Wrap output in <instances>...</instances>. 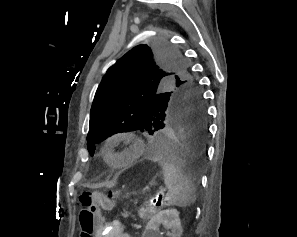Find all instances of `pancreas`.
I'll return each mask as SVG.
<instances>
[{
    "instance_id": "cf45deb5",
    "label": "pancreas",
    "mask_w": 297,
    "mask_h": 237,
    "mask_svg": "<svg viewBox=\"0 0 297 237\" xmlns=\"http://www.w3.org/2000/svg\"><path fill=\"white\" fill-rule=\"evenodd\" d=\"M156 212L157 209L153 207H142L139 209L138 214L142 220L146 221L152 218L156 214Z\"/></svg>"
}]
</instances>
